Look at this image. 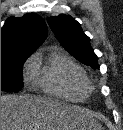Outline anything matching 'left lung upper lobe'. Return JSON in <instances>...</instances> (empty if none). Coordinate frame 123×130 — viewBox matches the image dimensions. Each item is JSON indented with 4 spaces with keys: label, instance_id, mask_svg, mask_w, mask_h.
I'll use <instances>...</instances> for the list:
<instances>
[{
    "label": "left lung upper lobe",
    "instance_id": "5c2ea615",
    "mask_svg": "<svg viewBox=\"0 0 123 130\" xmlns=\"http://www.w3.org/2000/svg\"><path fill=\"white\" fill-rule=\"evenodd\" d=\"M47 22L59 42L80 62L98 69V58L80 24L69 15L49 17Z\"/></svg>",
    "mask_w": 123,
    "mask_h": 130
}]
</instances>
